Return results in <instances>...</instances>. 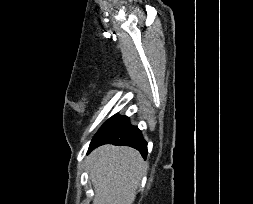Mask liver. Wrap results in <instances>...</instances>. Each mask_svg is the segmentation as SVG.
Wrapping results in <instances>:
<instances>
[{
  "instance_id": "liver-1",
  "label": "liver",
  "mask_w": 253,
  "mask_h": 204,
  "mask_svg": "<svg viewBox=\"0 0 253 204\" xmlns=\"http://www.w3.org/2000/svg\"><path fill=\"white\" fill-rule=\"evenodd\" d=\"M145 166L140 153L131 147L95 149L87 160L95 191L93 204H133Z\"/></svg>"
}]
</instances>
